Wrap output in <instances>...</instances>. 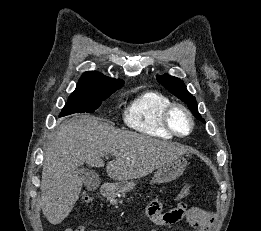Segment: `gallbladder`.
<instances>
[{"mask_svg":"<svg viewBox=\"0 0 261 231\" xmlns=\"http://www.w3.org/2000/svg\"><path fill=\"white\" fill-rule=\"evenodd\" d=\"M77 173H78L79 177L81 178L82 182L84 183V185L89 190H94L98 187L99 177L94 171H91L84 167H79L77 169Z\"/></svg>","mask_w":261,"mask_h":231,"instance_id":"bac80fb5","label":"gallbladder"}]
</instances>
